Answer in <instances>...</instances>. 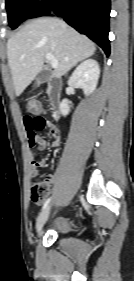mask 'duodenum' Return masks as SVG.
<instances>
[{
    "label": "duodenum",
    "mask_w": 134,
    "mask_h": 281,
    "mask_svg": "<svg viewBox=\"0 0 134 281\" xmlns=\"http://www.w3.org/2000/svg\"><path fill=\"white\" fill-rule=\"evenodd\" d=\"M62 85L59 81H52L48 85L47 93L49 101L55 111L59 108Z\"/></svg>",
    "instance_id": "obj_1"
}]
</instances>
